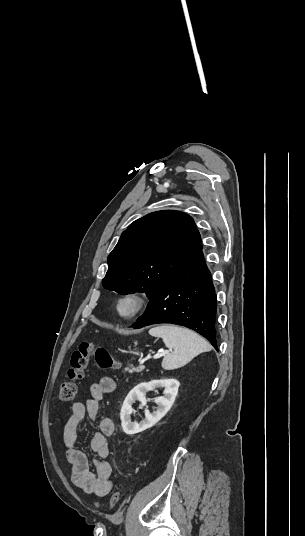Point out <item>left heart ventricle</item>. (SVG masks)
<instances>
[{"label":"left heart ventricle","instance_id":"b2bd125f","mask_svg":"<svg viewBox=\"0 0 305 536\" xmlns=\"http://www.w3.org/2000/svg\"><path fill=\"white\" fill-rule=\"evenodd\" d=\"M136 306L137 302L132 298L123 299L119 305L120 310L123 314L131 313L133 310H135Z\"/></svg>","mask_w":305,"mask_h":536}]
</instances>
